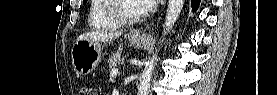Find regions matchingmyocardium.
Here are the masks:
<instances>
[{
  "instance_id": "obj_1",
  "label": "myocardium",
  "mask_w": 277,
  "mask_h": 95,
  "mask_svg": "<svg viewBox=\"0 0 277 95\" xmlns=\"http://www.w3.org/2000/svg\"><path fill=\"white\" fill-rule=\"evenodd\" d=\"M126 0H110L107 6V15L118 22L119 24L129 25L142 21L148 16L149 11L143 9V11L136 17H127L121 14L119 8L121 3Z\"/></svg>"
}]
</instances>
